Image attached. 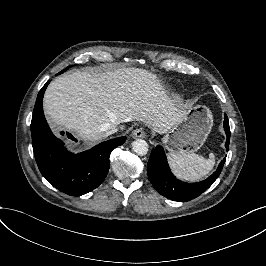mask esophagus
<instances>
[{"instance_id":"1","label":"esophagus","mask_w":266,"mask_h":266,"mask_svg":"<svg viewBox=\"0 0 266 266\" xmlns=\"http://www.w3.org/2000/svg\"><path fill=\"white\" fill-rule=\"evenodd\" d=\"M144 135H145V132H144V129L143 128H138V129H136V130H134L132 132V136L134 138H143Z\"/></svg>"}]
</instances>
